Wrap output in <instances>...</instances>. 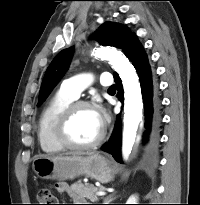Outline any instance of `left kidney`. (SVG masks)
Instances as JSON below:
<instances>
[{"label": "left kidney", "mask_w": 200, "mask_h": 205, "mask_svg": "<svg viewBox=\"0 0 200 205\" xmlns=\"http://www.w3.org/2000/svg\"><path fill=\"white\" fill-rule=\"evenodd\" d=\"M138 196L137 195H132L129 197L127 200L126 204H138Z\"/></svg>", "instance_id": "5707ae66"}]
</instances>
